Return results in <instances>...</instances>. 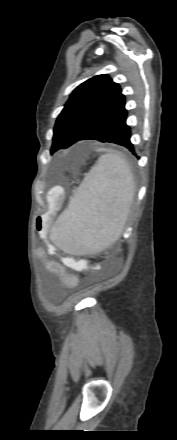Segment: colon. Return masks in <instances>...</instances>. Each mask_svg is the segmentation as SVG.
<instances>
[{
	"label": "colon",
	"mask_w": 177,
	"mask_h": 440,
	"mask_svg": "<svg viewBox=\"0 0 177 440\" xmlns=\"http://www.w3.org/2000/svg\"><path fill=\"white\" fill-rule=\"evenodd\" d=\"M62 199V193L58 190H52L48 193V211L44 214H41L36 219V224L38 229L44 228L46 226V220L49 218L50 214L56 211ZM68 274V273H67ZM69 276H72L68 274Z\"/></svg>",
	"instance_id": "colon-1"
}]
</instances>
